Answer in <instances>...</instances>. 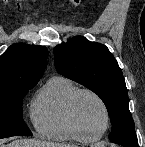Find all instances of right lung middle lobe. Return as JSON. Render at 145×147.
<instances>
[{
    "mask_svg": "<svg viewBox=\"0 0 145 147\" xmlns=\"http://www.w3.org/2000/svg\"><path fill=\"white\" fill-rule=\"evenodd\" d=\"M34 86L0 91V139L11 136H32L23 121V97Z\"/></svg>",
    "mask_w": 145,
    "mask_h": 147,
    "instance_id": "1",
    "label": "right lung middle lobe"
}]
</instances>
